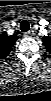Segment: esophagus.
I'll list each match as a JSON object with an SVG mask.
<instances>
[{"mask_svg":"<svg viewBox=\"0 0 51 101\" xmlns=\"http://www.w3.org/2000/svg\"><path fill=\"white\" fill-rule=\"evenodd\" d=\"M32 35H33V30H29L28 32L24 33V36H26V37H30Z\"/></svg>","mask_w":51,"mask_h":101,"instance_id":"esophagus-1","label":"esophagus"}]
</instances>
